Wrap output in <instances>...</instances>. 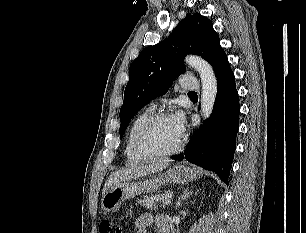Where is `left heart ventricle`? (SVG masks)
<instances>
[{"label": "left heart ventricle", "mask_w": 306, "mask_h": 233, "mask_svg": "<svg viewBox=\"0 0 306 233\" xmlns=\"http://www.w3.org/2000/svg\"><path fill=\"white\" fill-rule=\"evenodd\" d=\"M178 136L170 118L157 122L147 133L145 144L148 148L157 151H168L176 146Z\"/></svg>", "instance_id": "left-heart-ventricle-1"}]
</instances>
